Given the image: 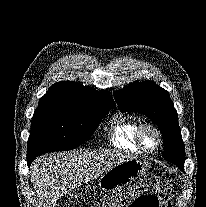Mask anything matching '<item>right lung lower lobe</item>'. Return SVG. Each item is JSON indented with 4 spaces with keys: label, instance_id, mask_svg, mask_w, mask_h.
Wrapping results in <instances>:
<instances>
[{
    "label": "right lung lower lobe",
    "instance_id": "1",
    "mask_svg": "<svg viewBox=\"0 0 206 207\" xmlns=\"http://www.w3.org/2000/svg\"><path fill=\"white\" fill-rule=\"evenodd\" d=\"M36 157H37L36 155H33V156H27V164H28V166L31 165L32 161H33Z\"/></svg>",
    "mask_w": 206,
    "mask_h": 207
}]
</instances>
